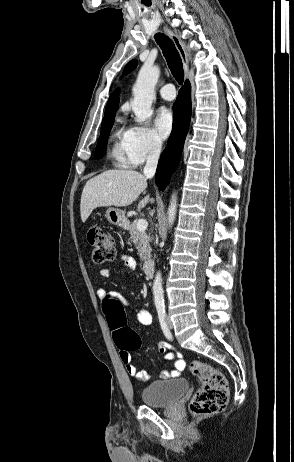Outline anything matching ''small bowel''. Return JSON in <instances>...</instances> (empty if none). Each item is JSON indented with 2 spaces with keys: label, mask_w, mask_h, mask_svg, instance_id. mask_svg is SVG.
I'll use <instances>...</instances> for the list:
<instances>
[{
  "label": "small bowel",
  "mask_w": 294,
  "mask_h": 462,
  "mask_svg": "<svg viewBox=\"0 0 294 462\" xmlns=\"http://www.w3.org/2000/svg\"><path fill=\"white\" fill-rule=\"evenodd\" d=\"M120 261L122 262L123 266L127 270H135L137 263L136 260L128 255H122L119 257ZM100 275L103 277H110L112 275L111 271L107 268H102L100 271ZM108 292L104 289H99L97 294L100 298H103ZM128 306H131L128 302H126ZM136 320L140 325L147 326L150 325L152 322V316L149 311L144 308L138 307L136 308ZM171 349V346L167 342H161L159 344V351L161 353H166L168 350ZM166 359L174 360V368L169 372L167 370H162L160 372V378H168V377H176L179 376L185 369L186 363L182 358L181 353H166ZM120 359L125 365L127 373L137 379L138 381H147L150 376L146 371H140L137 367L131 362V355L129 352L120 351Z\"/></svg>",
  "instance_id": "1"
}]
</instances>
